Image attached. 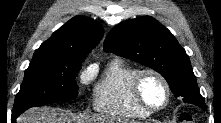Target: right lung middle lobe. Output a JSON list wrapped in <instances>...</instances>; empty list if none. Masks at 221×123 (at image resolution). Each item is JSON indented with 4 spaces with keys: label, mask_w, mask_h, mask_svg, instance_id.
I'll return each instance as SVG.
<instances>
[{
    "label": "right lung middle lobe",
    "mask_w": 221,
    "mask_h": 123,
    "mask_svg": "<svg viewBox=\"0 0 221 123\" xmlns=\"http://www.w3.org/2000/svg\"><path fill=\"white\" fill-rule=\"evenodd\" d=\"M83 61L33 58L16 95L13 113L77 97L75 77Z\"/></svg>",
    "instance_id": "dd1d6c3e"
}]
</instances>
